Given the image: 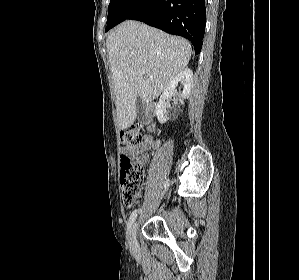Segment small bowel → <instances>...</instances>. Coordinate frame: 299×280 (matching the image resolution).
<instances>
[{
	"label": "small bowel",
	"mask_w": 299,
	"mask_h": 280,
	"mask_svg": "<svg viewBox=\"0 0 299 280\" xmlns=\"http://www.w3.org/2000/svg\"><path fill=\"white\" fill-rule=\"evenodd\" d=\"M159 143L154 141L151 138H146L144 140V142H142L140 145L138 146H134L131 147L127 150H125L126 152H130L131 154H143L144 152L154 148L155 146H157ZM146 160V156L145 155H141L139 157V161L144 162Z\"/></svg>",
	"instance_id": "obj_1"
}]
</instances>
